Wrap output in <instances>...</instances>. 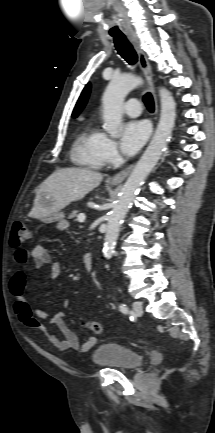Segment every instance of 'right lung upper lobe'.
<instances>
[{
	"mask_svg": "<svg viewBox=\"0 0 215 433\" xmlns=\"http://www.w3.org/2000/svg\"><path fill=\"white\" fill-rule=\"evenodd\" d=\"M89 93H90V84H87L85 86L84 90L82 91V93H81V95L77 101V104L73 110V113H72L73 117H77V115L80 113V111L84 108V106L87 102Z\"/></svg>",
	"mask_w": 215,
	"mask_h": 433,
	"instance_id": "right-lung-upper-lobe-1",
	"label": "right lung upper lobe"
}]
</instances>
